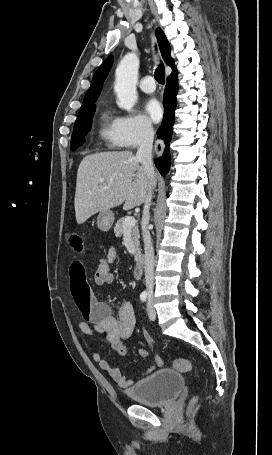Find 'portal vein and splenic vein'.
Masks as SVG:
<instances>
[{"instance_id":"obj_1","label":"portal vein and splenic vein","mask_w":272,"mask_h":455,"mask_svg":"<svg viewBox=\"0 0 272 455\" xmlns=\"http://www.w3.org/2000/svg\"><path fill=\"white\" fill-rule=\"evenodd\" d=\"M99 181L100 182H104L105 180L104 179H100ZM135 224H136V220H135L134 217H126L124 222H123V226H124L125 230L133 228L135 226Z\"/></svg>"}]
</instances>
